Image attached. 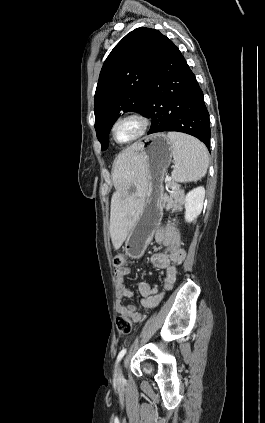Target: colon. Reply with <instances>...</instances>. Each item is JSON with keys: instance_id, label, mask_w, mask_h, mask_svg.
Listing matches in <instances>:
<instances>
[{"instance_id": "obj_1", "label": "colon", "mask_w": 265, "mask_h": 423, "mask_svg": "<svg viewBox=\"0 0 265 423\" xmlns=\"http://www.w3.org/2000/svg\"><path fill=\"white\" fill-rule=\"evenodd\" d=\"M113 263L116 268H120L125 263V257L118 254L114 257ZM117 330L120 335L128 336L132 333L133 325L130 318L126 314H120L116 319Z\"/></svg>"}]
</instances>
